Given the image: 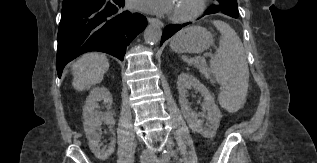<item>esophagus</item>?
I'll use <instances>...</instances> for the list:
<instances>
[{
    "instance_id": "esophagus-1",
    "label": "esophagus",
    "mask_w": 317,
    "mask_h": 163,
    "mask_svg": "<svg viewBox=\"0 0 317 163\" xmlns=\"http://www.w3.org/2000/svg\"><path fill=\"white\" fill-rule=\"evenodd\" d=\"M147 20H148V22H149L150 24L158 25V26L161 27V28L164 27L163 22L160 21L159 19L149 17Z\"/></svg>"
}]
</instances>
